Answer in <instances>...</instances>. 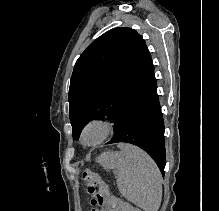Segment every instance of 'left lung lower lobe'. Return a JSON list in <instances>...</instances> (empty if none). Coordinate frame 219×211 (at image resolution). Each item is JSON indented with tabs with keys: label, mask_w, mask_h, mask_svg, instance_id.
<instances>
[{
	"label": "left lung lower lobe",
	"mask_w": 219,
	"mask_h": 211,
	"mask_svg": "<svg viewBox=\"0 0 219 211\" xmlns=\"http://www.w3.org/2000/svg\"><path fill=\"white\" fill-rule=\"evenodd\" d=\"M164 129L154 75L130 101L114 129V138L107 144L125 142L138 146L154 159L164 176Z\"/></svg>",
	"instance_id": "1"
}]
</instances>
